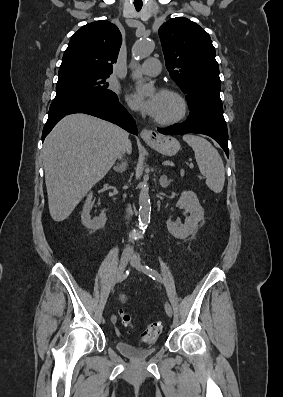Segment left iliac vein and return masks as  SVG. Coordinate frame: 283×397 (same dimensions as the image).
Instances as JSON below:
<instances>
[{
    "mask_svg": "<svg viewBox=\"0 0 283 397\" xmlns=\"http://www.w3.org/2000/svg\"><path fill=\"white\" fill-rule=\"evenodd\" d=\"M130 262H131V265H132L135 269H137V270L140 271V272H144V271H143V266H142L141 262L139 261V259H138L137 257L131 256V257H130ZM165 311H166V313H167V315H168L169 317L172 316V313H173V312H172V307H171V305H170L168 302L165 303Z\"/></svg>",
    "mask_w": 283,
    "mask_h": 397,
    "instance_id": "obj_1",
    "label": "left iliac vein"
}]
</instances>
